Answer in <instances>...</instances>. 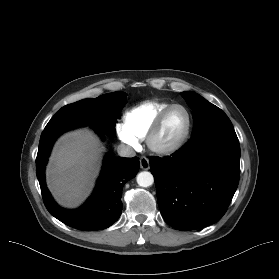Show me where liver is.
Wrapping results in <instances>:
<instances>
[{
    "mask_svg": "<svg viewBox=\"0 0 279 279\" xmlns=\"http://www.w3.org/2000/svg\"><path fill=\"white\" fill-rule=\"evenodd\" d=\"M104 148L92 132L77 130L56 143L47 167V184L66 207H76L88 196Z\"/></svg>",
    "mask_w": 279,
    "mask_h": 279,
    "instance_id": "liver-1",
    "label": "liver"
}]
</instances>
